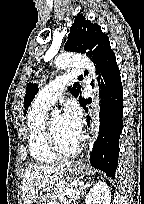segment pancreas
Masks as SVG:
<instances>
[{
  "label": "pancreas",
  "instance_id": "1",
  "mask_svg": "<svg viewBox=\"0 0 144 204\" xmlns=\"http://www.w3.org/2000/svg\"><path fill=\"white\" fill-rule=\"evenodd\" d=\"M65 189H72L71 186H63L61 188L55 189L47 198L44 204H72L74 201L73 196L64 195Z\"/></svg>",
  "mask_w": 144,
  "mask_h": 204
}]
</instances>
